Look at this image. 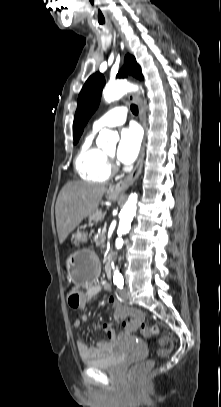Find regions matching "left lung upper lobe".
<instances>
[{
    "instance_id": "1",
    "label": "left lung upper lobe",
    "mask_w": 221,
    "mask_h": 407,
    "mask_svg": "<svg viewBox=\"0 0 221 407\" xmlns=\"http://www.w3.org/2000/svg\"><path fill=\"white\" fill-rule=\"evenodd\" d=\"M128 72L138 79H143L141 68L131 55L125 57V65L119 71L117 77H126ZM104 85V76L99 72L94 73L88 78L79 94L77 110L73 122V138L75 144L78 142L89 118L99 105Z\"/></svg>"
}]
</instances>
